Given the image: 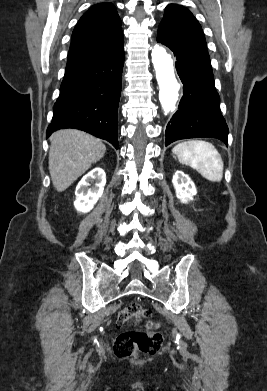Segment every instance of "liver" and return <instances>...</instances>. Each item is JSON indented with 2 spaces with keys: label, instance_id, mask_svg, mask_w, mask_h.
<instances>
[{
  "label": "liver",
  "instance_id": "obj_1",
  "mask_svg": "<svg viewBox=\"0 0 267 391\" xmlns=\"http://www.w3.org/2000/svg\"><path fill=\"white\" fill-rule=\"evenodd\" d=\"M49 172L58 192L66 190L105 154L101 140L73 129L59 130L50 137Z\"/></svg>",
  "mask_w": 267,
  "mask_h": 391
}]
</instances>
